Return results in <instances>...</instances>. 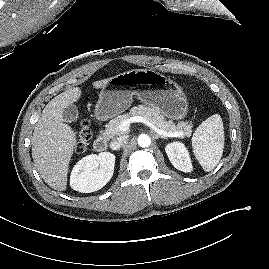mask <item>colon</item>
<instances>
[{
	"label": "colon",
	"instance_id": "colon-1",
	"mask_svg": "<svg viewBox=\"0 0 269 269\" xmlns=\"http://www.w3.org/2000/svg\"><path fill=\"white\" fill-rule=\"evenodd\" d=\"M75 149L78 152H82L85 150L88 141L91 138V130L89 127V122L86 119H82L78 126L75 129Z\"/></svg>",
	"mask_w": 269,
	"mask_h": 269
}]
</instances>
